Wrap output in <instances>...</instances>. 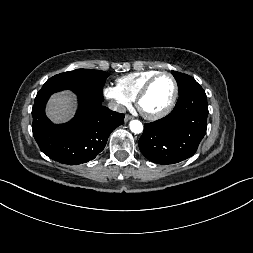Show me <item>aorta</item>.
Instances as JSON below:
<instances>
[{"label":"aorta","instance_id":"aorta-1","mask_svg":"<svg viewBox=\"0 0 253 253\" xmlns=\"http://www.w3.org/2000/svg\"><path fill=\"white\" fill-rule=\"evenodd\" d=\"M129 127L130 130L135 134H139L143 131V125L139 120L130 121Z\"/></svg>","mask_w":253,"mask_h":253}]
</instances>
